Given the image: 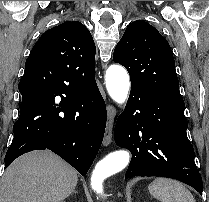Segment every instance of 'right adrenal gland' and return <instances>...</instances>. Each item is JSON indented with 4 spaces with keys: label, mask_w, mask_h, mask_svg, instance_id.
I'll use <instances>...</instances> for the list:
<instances>
[{
    "label": "right adrenal gland",
    "mask_w": 209,
    "mask_h": 202,
    "mask_svg": "<svg viewBox=\"0 0 209 202\" xmlns=\"http://www.w3.org/2000/svg\"><path fill=\"white\" fill-rule=\"evenodd\" d=\"M76 193H78L76 190H75V191H73V194H76Z\"/></svg>",
    "instance_id": "right-adrenal-gland-1"
}]
</instances>
